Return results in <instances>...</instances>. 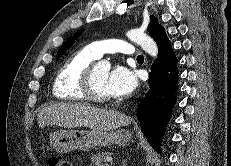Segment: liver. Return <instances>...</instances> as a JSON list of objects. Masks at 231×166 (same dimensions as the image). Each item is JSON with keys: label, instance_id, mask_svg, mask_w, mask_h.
I'll return each mask as SVG.
<instances>
[{"label": "liver", "instance_id": "obj_1", "mask_svg": "<svg viewBox=\"0 0 231 166\" xmlns=\"http://www.w3.org/2000/svg\"><path fill=\"white\" fill-rule=\"evenodd\" d=\"M37 121L42 129L56 125L109 131L129 124L131 119L119 111L100 109L83 103H55L42 108L37 115Z\"/></svg>", "mask_w": 231, "mask_h": 166}]
</instances>
